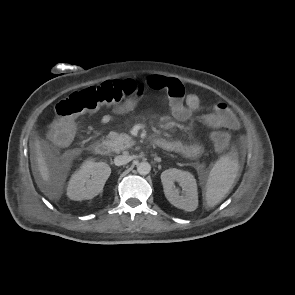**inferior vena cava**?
Segmentation results:
<instances>
[{
  "instance_id": "obj_1",
  "label": "inferior vena cava",
  "mask_w": 295,
  "mask_h": 295,
  "mask_svg": "<svg viewBox=\"0 0 295 295\" xmlns=\"http://www.w3.org/2000/svg\"><path fill=\"white\" fill-rule=\"evenodd\" d=\"M130 161H131V157L130 156H128V155H119V156H116L115 157L114 164L116 166H121V165L127 164Z\"/></svg>"
}]
</instances>
